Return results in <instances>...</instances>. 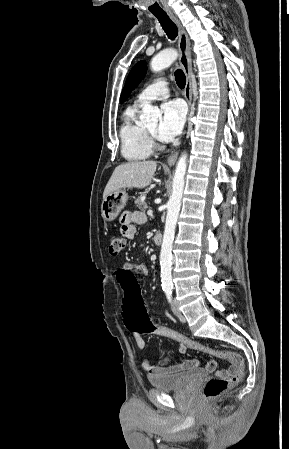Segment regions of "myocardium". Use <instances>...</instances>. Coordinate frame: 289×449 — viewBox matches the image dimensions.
I'll use <instances>...</instances> for the list:
<instances>
[{"label": "myocardium", "mask_w": 289, "mask_h": 449, "mask_svg": "<svg viewBox=\"0 0 289 449\" xmlns=\"http://www.w3.org/2000/svg\"><path fill=\"white\" fill-rule=\"evenodd\" d=\"M146 133H147V136H148V138L150 140L151 146L156 148V149H160L161 145L159 143V140H158L157 136L155 134H153L151 131H149L148 129H146Z\"/></svg>", "instance_id": "myocardium-1"}]
</instances>
